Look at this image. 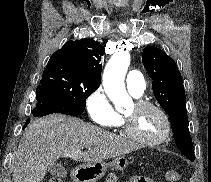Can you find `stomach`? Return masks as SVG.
<instances>
[{
	"mask_svg": "<svg viewBox=\"0 0 211 182\" xmlns=\"http://www.w3.org/2000/svg\"><path fill=\"white\" fill-rule=\"evenodd\" d=\"M128 163V159L125 156L117 157L110 163L104 161L91 162L78 166L72 172V176L74 182H97L104 177L108 167L115 170H124Z\"/></svg>",
	"mask_w": 211,
	"mask_h": 182,
	"instance_id": "0dacf381",
	"label": "stomach"
}]
</instances>
